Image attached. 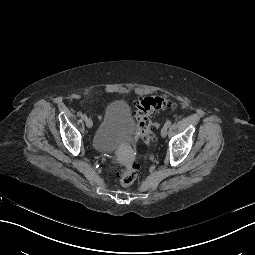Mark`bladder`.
<instances>
[{
	"label": "bladder",
	"instance_id": "1",
	"mask_svg": "<svg viewBox=\"0 0 255 255\" xmlns=\"http://www.w3.org/2000/svg\"><path fill=\"white\" fill-rule=\"evenodd\" d=\"M121 121L129 128L126 134H120L114 129V125ZM136 140L137 136L131 122L127 102L116 100L109 103L105 110L103 123L93 141V150L112 152L116 147L125 143L136 142Z\"/></svg>",
	"mask_w": 255,
	"mask_h": 255
}]
</instances>
